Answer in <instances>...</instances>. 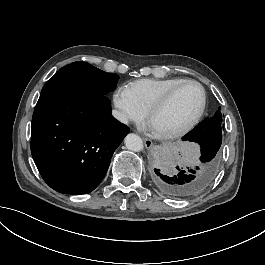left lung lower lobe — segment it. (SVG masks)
Instances as JSON below:
<instances>
[{
    "mask_svg": "<svg viewBox=\"0 0 265 265\" xmlns=\"http://www.w3.org/2000/svg\"><path fill=\"white\" fill-rule=\"evenodd\" d=\"M183 140L200 147L199 158L192 168L176 166V158L169 150L162 151L154 160L151 180L164 195L186 199L205 191L213 182L221 163L222 126L210 119L200 122Z\"/></svg>",
    "mask_w": 265,
    "mask_h": 265,
    "instance_id": "0a47b994",
    "label": "left lung lower lobe"
}]
</instances>
